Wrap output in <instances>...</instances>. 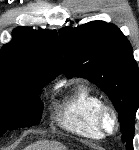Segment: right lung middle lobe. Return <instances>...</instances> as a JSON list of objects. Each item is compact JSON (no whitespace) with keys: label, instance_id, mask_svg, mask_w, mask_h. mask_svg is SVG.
I'll return each mask as SVG.
<instances>
[{"label":"right lung middle lobe","instance_id":"dd1d6c3e","mask_svg":"<svg viewBox=\"0 0 139 150\" xmlns=\"http://www.w3.org/2000/svg\"><path fill=\"white\" fill-rule=\"evenodd\" d=\"M45 83L26 74L0 71V136L40 121L43 105L39 94Z\"/></svg>","mask_w":139,"mask_h":150}]
</instances>
